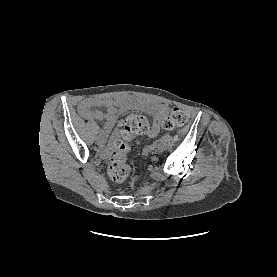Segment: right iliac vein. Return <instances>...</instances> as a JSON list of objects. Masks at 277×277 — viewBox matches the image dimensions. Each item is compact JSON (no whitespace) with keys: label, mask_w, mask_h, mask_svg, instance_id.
I'll return each mask as SVG.
<instances>
[{"label":"right iliac vein","mask_w":277,"mask_h":277,"mask_svg":"<svg viewBox=\"0 0 277 277\" xmlns=\"http://www.w3.org/2000/svg\"><path fill=\"white\" fill-rule=\"evenodd\" d=\"M96 143H97L99 146H102V145H104V143H105V139H104L103 137H97Z\"/></svg>","instance_id":"right-iliac-vein-1"}]
</instances>
